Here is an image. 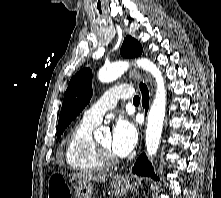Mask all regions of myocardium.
I'll return each mask as SVG.
<instances>
[{"mask_svg":"<svg viewBox=\"0 0 221 198\" xmlns=\"http://www.w3.org/2000/svg\"><path fill=\"white\" fill-rule=\"evenodd\" d=\"M99 157L105 165H115L118 163V158L107 148L103 147L99 142L94 141Z\"/></svg>","mask_w":221,"mask_h":198,"instance_id":"myocardium-1","label":"myocardium"}]
</instances>
